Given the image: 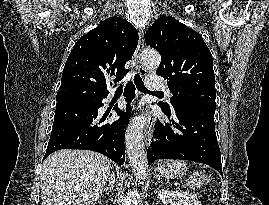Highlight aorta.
Wrapping results in <instances>:
<instances>
[{
    "instance_id": "1",
    "label": "aorta",
    "mask_w": 269,
    "mask_h": 205,
    "mask_svg": "<svg viewBox=\"0 0 269 205\" xmlns=\"http://www.w3.org/2000/svg\"><path fill=\"white\" fill-rule=\"evenodd\" d=\"M141 58L144 66L149 69H157L160 65L161 57L155 50H144ZM146 122V115L142 114L135 117L128 125L125 136V144L130 166L134 176L139 181L144 180L147 176L148 163L143 141V127Z\"/></svg>"
}]
</instances>
